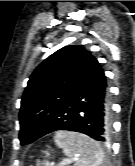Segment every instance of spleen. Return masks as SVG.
I'll list each match as a JSON object with an SVG mask.
<instances>
[{
	"mask_svg": "<svg viewBox=\"0 0 135 166\" xmlns=\"http://www.w3.org/2000/svg\"><path fill=\"white\" fill-rule=\"evenodd\" d=\"M54 142L63 150L69 161H74V166H101L104 161L100 144L84 134L57 131Z\"/></svg>",
	"mask_w": 135,
	"mask_h": 166,
	"instance_id": "spleen-1",
	"label": "spleen"
}]
</instances>
